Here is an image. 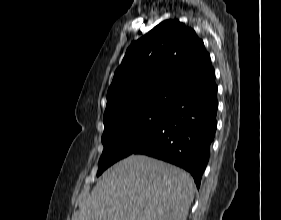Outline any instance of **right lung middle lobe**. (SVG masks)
Listing matches in <instances>:
<instances>
[{"mask_svg":"<svg viewBox=\"0 0 281 220\" xmlns=\"http://www.w3.org/2000/svg\"><path fill=\"white\" fill-rule=\"evenodd\" d=\"M168 111H148L123 116L105 126L99 176L118 160L132 154L163 125Z\"/></svg>","mask_w":281,"mask_h":220,"instance_id":"obj_1","label":"right lung middle lobe"}]
</instances>
